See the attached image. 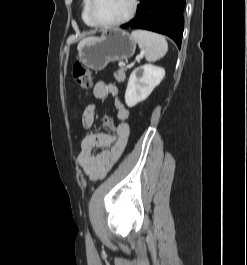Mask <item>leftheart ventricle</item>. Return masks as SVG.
<instances>
[{
  "label": "left heart ventricle",
  "instance_id": "left-heart-ventricle-1",
  "mask_svg": "<svg viewBox=\"0 0 247 265\" xmlns=\"http://www.w3.org/2000/svg\"><path fill=\"white\" fill-rule=\"evenodd\" d=\"M132 5V0H95L94 14L102 23H112L125 17Z\"/></svg>",
  "mask_w": 247,
  "mask_h": 265
}]
</instances>
